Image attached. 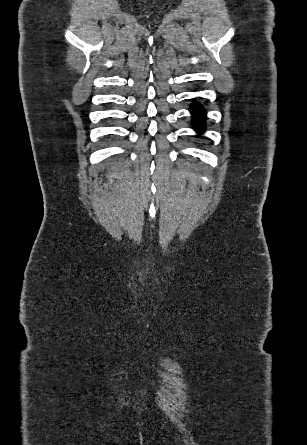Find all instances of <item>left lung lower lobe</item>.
<instances>
[{
  "label": "left lung lower lobe",
  "instance_id": "0a47b994",
  "mask_svg": "<svg viewBox=\"0 0 307 445\" xmlns=\"http://www.w3.org/2000/svg\"><path fill=\"white\" fill-rule=\"evenodd\" d=\"M190 112L193 115L194 118V128L197 131H203V120L205 117V110L203 107L199 104H193L190 108Z\"/></svg>",
  "mask_w": 307,
  "mask_h": 445
}]
</instances>
